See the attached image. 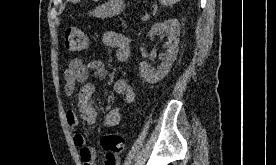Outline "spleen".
<instances>
[{
    "instance_id": "1",
    "label": "spleen",
    "mask_w": 276,
    "mask_h": 165,
    "mask_svg": "<svg viewBox=\"0 0 276 165\" xmlns=\"http://www.w3.org/2000/svg\"><path fill=\"white\" fill-rule=\"evenodd\" d=\"M161 4L163 5H172L175 4L176 2L180 1V0H159Z\"/></svg>"
}]
</instances>
